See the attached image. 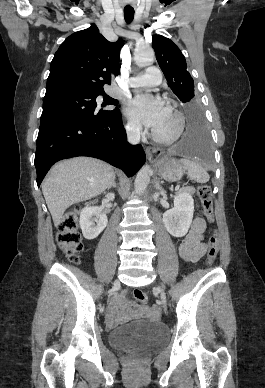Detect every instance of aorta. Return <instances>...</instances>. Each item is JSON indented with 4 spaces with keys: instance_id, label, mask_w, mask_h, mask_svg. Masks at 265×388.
Wrapping results in <instances>:
<instances>
[{
    "instance_id": "1",
    "label": "aorta",
    "mask_w": 265,
    "mask_h": 388,
    "mask_svg": "<svg viewBox=\"0 0 265 388\" xmlns=\"http://www.w3.org/2000/svg\"><path fill=\"white\" fill-rule=\"evenodd\" d=\"M154 58V52L149 50L140 51L136 55V62L139 66H147L150 65ZM150 167L148 165L143 166L138 172L135 179V191L136 194H141L146 189L147 185L150 182Z\"/></svg>"
}]
</instances>
